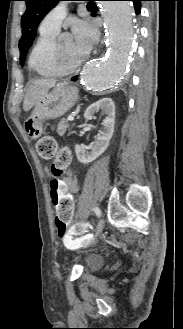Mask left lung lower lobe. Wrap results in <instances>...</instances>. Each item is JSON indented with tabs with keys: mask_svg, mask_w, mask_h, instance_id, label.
Masks as SVG:
<instances>
[{
	"mask_svg": "<svg viewBox=\"0 0 183 329\" xmlns=\"http://www.w3.org/2000/svg\"><path fill=\"white\" fill-rule=\"evenodd\" d=\"M130 1H132L134 3L135 11H136L137 14H139L140 13V9H141V4L140 3L143 0H130ZM72 80L75 81L76 80V77H73Z\"/></svg>",
	"mask_w": 183,
	"mask_h": 329,
	"instance_id": "0a47b994",
	"label": "left lung lower lobe"
}]
</instances>
